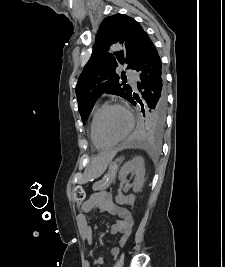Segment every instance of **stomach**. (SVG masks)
I'll use <instances>...</instances> for the list:
<instances>
[{
	"mask_svg": "<svg viewBox=\"0 0 225 267\" xmlns=\"http://www.w3.org/2000/svg\"><path fill=\"white\" fill-rule=\"evenodd\" d=\"M112 158L113 154L110 153H103L98 156L92 164L90 178H96L103 174Z\"/></svg>",
	"mask_w": 225,
	"mask_h": 267,
	"instance_id": "stomach-1",
	"label": "stomach"
}]
</instances>
